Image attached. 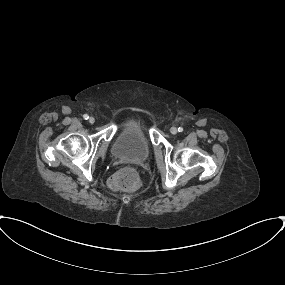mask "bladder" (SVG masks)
I'll return each mask as SVG.
<instances>
[{
  "mask_svg": "<svg viewBox=\"0 0 285 285\" xmlns=\"http://www.w3.org/2000/svg\"><path fill=\"white\" fill-rule=\"evenodd\" d=\"M151 149L147 125L139 115L134 114L121 125L112 145V155L117 159L144 161Z\"/></svg>",
  "mask_w": 285,
  "mask_h": 285,
  "instance_id": "bladder-1",
  "label": "bladder"
}]
</instances>
